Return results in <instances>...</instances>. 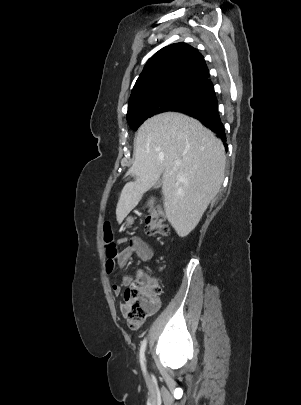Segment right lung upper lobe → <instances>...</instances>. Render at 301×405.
Returning a JSON list of instances; mask_svg holds the SVG:
<instances>
[{"instance_id":"1","label":"right lung upper lobe","mask_w":301,"mask_h":405,"mask_svg":"<svg viewBox=\"0 0 301 405\" xmlns=\"http://www.w3.org/2000/svg\"><path fill=\"white\" fill-rule=\"evenodd\" d=\"M209 76L198 50L186 43L166 46L146 63L132 90L128 110L143 97L179 87L196 89L215 97Z\"/></svg>"}]
</instances>
